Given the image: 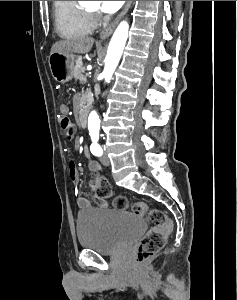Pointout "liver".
<instances>
[{"mask_svg": "<svg viewBox=\"0 0 237 300\" xmlns=\"http://www.w3.org/2000/svg\"><path fill=\"white\" fill-rule=\"evenodd\" d=\"M94 39L92 37H83V39H75V41H58L51 49L52 53H89L93 47Z\"/></svg>", "mask_w": 237, "mask_h": 300, "instance_id": "obj_1", "label": "liver"}]
</instances>
